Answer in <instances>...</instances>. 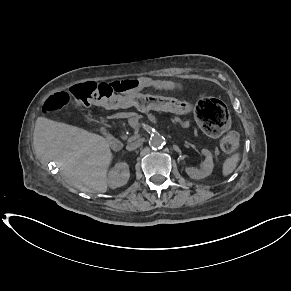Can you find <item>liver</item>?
Listing matches in <instances>:
<instances>
[{"mask_svg":"<svg viewBox=\"0 0 291 291\" xmlns=\"http://www.w3.org/2000/svg\"><path fill=\"white\" fill-rule=\"evenodd\" d=\"M35 154L53 161L75 188L87 193L107 191L113 154L108 141L69 124L38 117L33 135Z\"/></svg>","mask_w":291,"mask_h":291,"instance_id":"1","label":"liver"}]
</instances>
